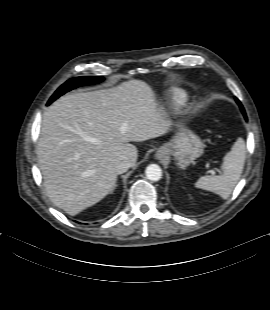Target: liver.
<instances>
[{
    "label": "liver",
    "instance_id": "1",
    "mask_svg": "<svg viewBox=\"0 0 270 310\" xmlns=\"http://www.w3.org/2000/svg\"><path fill=\"white\" fill-rule=\"evenodd\" d=\"M170 126L154 91L141 80L62 96L45 112L37 145L48 197L72 216L98 203L116 185L118 158L135 165L137 148L130 142L159 137Z\"/></svg>",
    "mask_w": 270,
    "mask_h": 310
}]
</instances>
